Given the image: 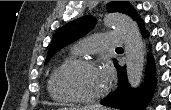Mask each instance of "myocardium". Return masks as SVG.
I'll return each instance as SVG.
<instances>
[{
    "mask_svg": "<svg viewBox=\"0 0 171 110\" xmlns=\"http://www.w3.org/2000/svg\"><path fill=\"white\" fill-rule=\"evenodd\" d=\"M76 67H87L91 69H97V66L94 64V62L86 59H71L63 63L56 71L55 77H54V85L57 90V92L64 98H66L69 101L77 102V103H96L100 100H102L109 92L110 90V84L107 83L105 89L98 95L92 96V97H85V96H79L76 94H73L69 92L62 84V76L64 73L71 69Z\"/></svg>",
    "mask_w": 171,
    "mask_h": 110,
    "instance_id": "myocardium-1",
    "label": "myocardium"
}]
</instances>
